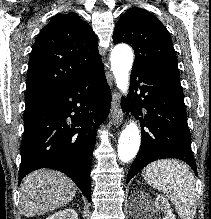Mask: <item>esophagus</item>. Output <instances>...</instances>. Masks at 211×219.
Instances as JSON below:
<instances>
[{"label": "esophagus", "mask_w": 211, "mask_h": 219, "mask_svg": "<svg viewBox=\"0 0 211 219\" xmlns=\"http://www.w3.org/2000/svg\"><path fill=\"white\" fill-rule=\"evenodd\" d=\"M111 115L114 126L118 127L123 119V113L120 107V98L117 91H114L112 97Z\"/></svg>", "instance_id": "1"}]
</instances>
